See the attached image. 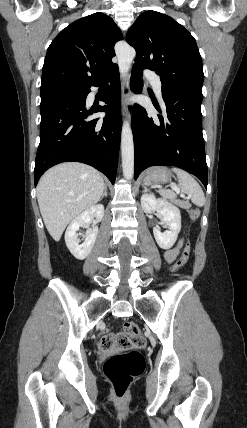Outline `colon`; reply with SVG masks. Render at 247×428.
<instances>
[{
  "label": "colon",
  "instance_id": "5ec220e1",
  "mask_svg": "<svg viewBox=\"0 0 247 428\" xmlns=\"http://www.w3.org/2000/svg\"><path fill=\"white\" fill-rule=\"evenodd\" d=\"M198 215V210L191 211L193 220ZM190 253L191 246L187 244L174 263L173 272H178L186 265ZM99 346L103 350L130 349L128 352L112 355L105 361L103 367L104 374L111 383L115 396L122 398L126 395L133 380L143 371L144 360L139 350L146 346V340L135 323L127 322L118 333L106 332L100 339Z\"/></svg>",
  "mask_w": 247,
  "mask_h": 428
}]
</instances>
